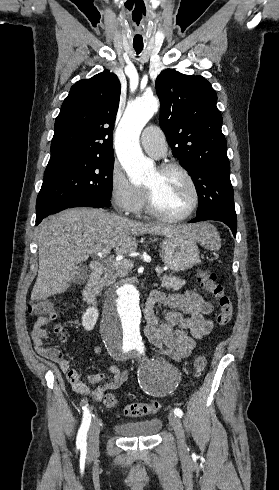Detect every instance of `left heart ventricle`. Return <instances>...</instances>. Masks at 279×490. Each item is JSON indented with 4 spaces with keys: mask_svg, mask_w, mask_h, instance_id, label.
I'll return each mask as SVG.
<instances>
[{
    "mask_svg": "<svg viewBox=\"0 0 279 490\" xmlns=\"http://www.w3.org/2000/svg\"><path fill=\"white\" fill-rule=\"evenodd\" d=\"M147 187L157 207L169 215L184 212L191 204L193 193L185 177L178 172H160L156 170L149 178Z\"/></svg>",
    "mask_w": 279,
    "mask_h": 490,
    "instance_id": "left-heart-ventricle-1",
    "label": "left heart ventricle"
}]
</instances>
